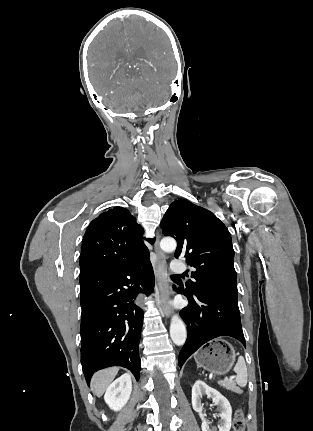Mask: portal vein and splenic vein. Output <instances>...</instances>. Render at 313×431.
Wrapping results in <instances>:
<instances>
[{
    "mask_svg": "<svg viewBox=\"0 0 313 431\" xmlns=\"http://www.w3.org/2000/svg\"><path fill=\"white\" fill-rule=\"evenodd\" d=\"M232 379H233V376H231L229 379H227V380H220V381H218V383H223V382H225V381H232Z\"/></svg>",
    "mask_w": 313,
    "mask_h": 431,
    "instance_id": "obj_1",
    "label": "portal vein and splenic vein"
}]
</instances>
